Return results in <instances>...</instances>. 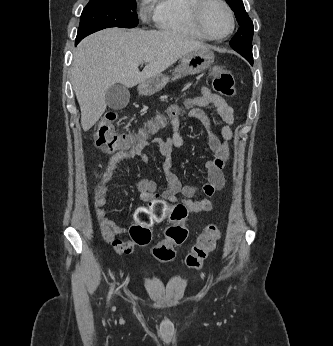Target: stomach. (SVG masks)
<instances>
[{"mask_svg": "<svg viewBox=\"0 0 333 346\" xmlns=\"http://www.w3.org/2000/svg\"><path fill=\"white\" fill-rule=\"evenodd\" d=\"M214 62V53L209 48L198 49L186 54L179 66L173 70L171 80L180 79L186 75H194L208 69ZM170 77L159 74L151 77L138 86L139 95L150 96L163 89Z\"/></svg>", "mask_w": 333, "mask_h": 346, "instance_id": "0dacf381", "label": "stomach"}]
</instances>
